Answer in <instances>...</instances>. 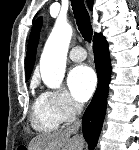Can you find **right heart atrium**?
<instances>
[{
    "instance_id": "right-heart-atrium-1",
    "label": "right heart atrium",
    "mask_w": 139,
    "mask_h": 150,
    "mask_svg": "<svg viewBox=\"0 0 139 150\" xmlns=\"http://www.w3.org/2000/svg\"><path fill=\"white\" fill-rule=\"evenodd\" d=\"M45 95L62 122L72 121L82 110V106L65 91H48Z\"/></svg>"
}]
</instances>
